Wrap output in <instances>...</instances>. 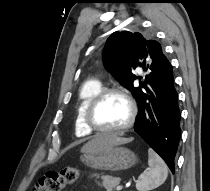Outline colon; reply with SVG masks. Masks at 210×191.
<instances>
[{
    "label": "colon",
    "instance_id": "obj_1",
    "mask_svg": "<svg viewBox=\"0 0 210 191\" xmlns=\"http://www.w3.org/2000/svg\"><path fill=\"white\" fill-rule=\"evenodd\" d=\"M79 177L80 170L76 167L47 172L39 179L33 191H61L65 186L75 183Z\"/></svg>",
    "mask_w": 210,
    "mask_h": 191
}]
</instances>
